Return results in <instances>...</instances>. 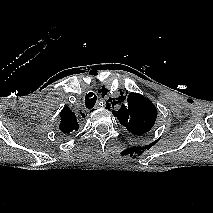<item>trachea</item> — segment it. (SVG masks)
<instances>
[{
	"label": "trachea",
	"instance_id": "obj_1",
	"mask_svg": "<svg viewBox=\"0 0 213 213\" xmlns=\"http://www.w3.org/2000/svg\"><path fill=\"white\" fill-rule=\"evenodd\" d=\"M96 100L97 97L94 93L89 92L88 94H86L85 96V105L88 109H91L94 107V105L96 104Z\"/></svg>",
	"mask_w": 213,
	"mask_h": 213
}]
</instances>
